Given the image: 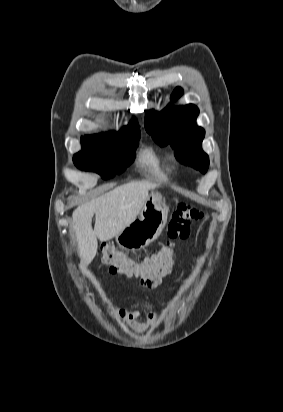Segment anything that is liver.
I'll list each match as a JSON object with an SVG mask.
<instances>
[{
	"mask_svg": "<svg viewBox=\"0 0 283 412\" xmlns=\"http://www.w3.org/2000/svg\"><path fill=\"white\" fill-rule=\"evenodd\" d=\"M156 187V184L149 181L129 182L74 210L73 228L78 243L81 269H85L94 259L98 248L97 238L101 242L108 241L135 221L148 198L149 191Z\"/></svg>",
	"mask_w": 283,
	"mask_h": 412,
	"instance_id": "liver-1",
	"label": "liver"
}]
</instances>
